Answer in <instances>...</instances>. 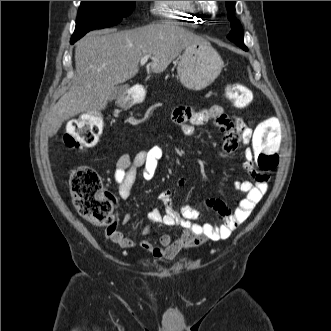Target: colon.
Here are the masks:
<instances>
[{"label": "colon", "instance_id": "5ec220e1", "mask_svg": "<svg viewBox=\"0 0 331 331\" xmlns=\"http://www.w3.org/2000/svg\"><path fill=\"white\" fill-rule=\"evenodd\" d=\"M226 97L236 107L247 106L251 101L249 89L238 83L226 88ZM104 128V120L99 113L88 112L69 122L64 134V144L68 148H86L95 144ZM282 137V123L270 117L258 124L254 132V144L258 153L256 162L259 170L271 172L278 165L277 149ZM69 189L78 213L100 227H112L114 210L110 194L104 190L97 172L86 166H77L69 173Z\"/></svg>", "mask_w": 331, "mask_h": 331}]
</instances>
